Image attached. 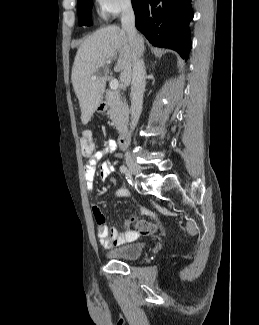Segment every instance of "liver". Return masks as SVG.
<instances>
[{"instance_id": "obj_1", "label": "liver", "mask_w": 259, "mask_h": 325, "mask_svg": "<svg viewBox=\"0 0 259 325\" xmlns=\"http://www.w3.org/2000/svg\"><path fill=\"white\" fill-rule=\"evenodd\" d=\"M143 52L144 41L139 36ZM118 55L115 72H120V80L128 86L132 78L133 47L127 33L118 26L103 27L87 37L79 46L72 67L71 81L81 108V121L86 125L102 102L106 86L108 60ZM100 68H105L102 77L92 76Z\"/></svg>"}]
</instances>
